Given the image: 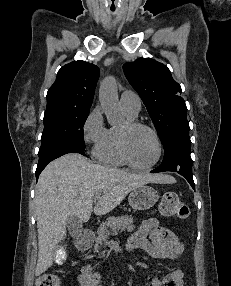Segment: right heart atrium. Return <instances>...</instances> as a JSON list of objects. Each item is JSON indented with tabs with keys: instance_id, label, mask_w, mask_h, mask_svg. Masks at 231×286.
<instances>
[{
	"instance_id": "right-heart-atrium-1",
	"label": "right heart atrium",
	"mask_w": 231,
	"mask_h": 286,
	"mask_svg": "<svg viewBox=\"0 0 231 286\" xmlns=\"http://www.w3.org/2000/svg\"><path fill=\"white\" fill-rule=\"evenodd\" d=\"M107 128L104 124L102 110L99 106L95 107L86 117L82 136L84 143L94 152L104 140Z\"/></svg>"
}]
</instances>
